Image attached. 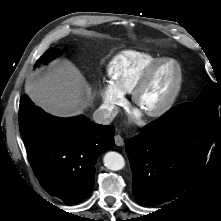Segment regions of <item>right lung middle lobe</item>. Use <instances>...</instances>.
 <instances>
[{"label":"right lung middle lobe","instance_id":"obj_1","mask_svg":"<svg viewBox=\"0 0 221 221\" xmlns=\"http://www.w3.org/2000/svg\"><path fill=\"white\" fill-rule=\"evenodd\" d=\"M61 53L56 51L54 48L48 49L36 62V66L40 63H47L49 60H52L59 56Z\"/></svg>","mask_w":221,"mask_h":221}]
</instances>
